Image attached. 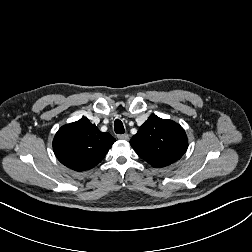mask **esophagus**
Masks as SVG:
<instances>
[{
  "label": "esophagus",
  "mask_w": 252,
  "mask_h": 252,
  "mask_svg": "<svg viewBox=\"0 0 252 252\" xmlns=\"http://www.w3.org/2000/svg\"><path fill=\"white\" fill-rule=\"evenodd\" d=\"M117 137L119 139H123V140H128L129 139V135L127 133H125V134H119Z\"/></svg>",
  "instance_id": "34e87169"
}]
</instances>
